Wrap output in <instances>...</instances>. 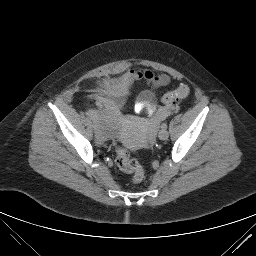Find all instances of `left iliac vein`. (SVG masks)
Instances as JSON below:
<instances>
[{"label": "left iliac vein", "mask_w": 256, "mask_h": 256, "mask_svg": "<svg viewBox=\"0 0 256 256\" xmlns=\"http://www.w3.org/2000/svg\"><path fill=\"white\" fill-rule=\"evenodd\" d=\"M168 136H169V133H168V131H167V129L166 128H162L160 131H159V133H158V137H159V139L160 140H166L167 138H168Z\"/></svg>", "instance_id": "4c4485c4"}]
</instances>
